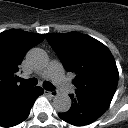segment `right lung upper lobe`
Listing matches in <instances>:
<instances>
[{
  "mask_svg": "<svg viewBox=\"0 0 128 128\" xmlns=\"http://www.w3.org/2000/svg\"><path fill=\"white\" fill-rule=\"evenodd\" d=\"M45 34L11 29L0 33V105L25 88L14 77L29 49L42 42Z\"/></svg>",
  "mask_w": 128,
  "mask_h": 128,
  "instance_id": "cb5924a9",
  "label": "right lung upper lobe"
}]
</instances>
